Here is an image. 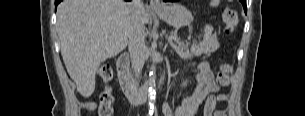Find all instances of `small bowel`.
Wrapping results in <instances>:
<instances>
[{"label":"small bowel","mask_w":305,"mask_h":116,"mask_svg":"<svg viewBox=\"0 0 305 116\" xmlns=\"http://www.w3.org/2000/svg\"><path fill=\"white\" fill-rule=\"evenodd\" d=\"M197 85L192 95L183 98L180 104L172 109L167 102L163 103L164 116H197L203 108V116H223V111L216 109L217 102H223L227 95L220 93L214 80L209 63L202 62L196 69Z\"/></svg>","instance_id":"small-bowel-1"}]
</instances>
